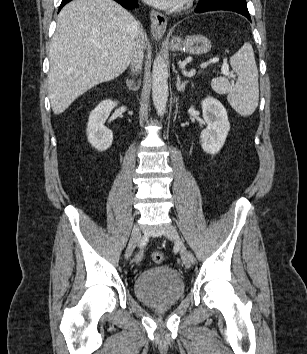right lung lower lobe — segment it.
Instances as JSON below:
<instances>
[{
	"mask_svg": "<svg viewBox=\"0 0 307 354\" xmlns=\"http://www.w3.org/2000/svg\"><path fill=\"white\" fill-rule=\"evenodd\" d=\"M71 0H62L60 5V9ZM116 2L120 3L124 8L133 9L138 6L137 0H115Z\"/></svg>",
	"mask_w": 307,
	"mask_h": 354,
	"instance_id": "1",
	"label": "right lung lower lobe"
}]
</instances>
